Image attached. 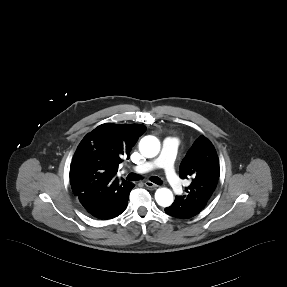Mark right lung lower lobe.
<instances>
[{
  "label": "right lung lower lobe",
  "instance_id": "right-lung-lower-lobe-1",
  "mask_svg": "<svg viewBox=\"0 0 287 287\" xmlns=\"http://www.w3.org/2000/svg\"><path fill=\"white\" fill-rule=\"evenodd\" d=\"M133 184L118 178L92 181L85 192L78 197L88 214L98 219H112L120 215L128 204Z\"/></svg>",
  "mask_w": 287,
  "mask_h": 287
}]
</instances>
